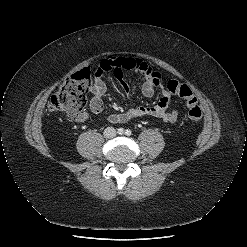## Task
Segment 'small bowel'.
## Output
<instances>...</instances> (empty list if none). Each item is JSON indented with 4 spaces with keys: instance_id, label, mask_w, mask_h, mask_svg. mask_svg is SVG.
Wrapping results in <instances>:
<instances>
[{
    "instance_id": "small-bowel-1",
    "label": "small bowel",
    "mask_w": 247,
    "mask_h": 247,
    "mask_svg": "<svg viewBox=\"0 0 247 247\" xmlns=\"http://www.w3.org/2000/svg\"><path fill=\"white\" fill-rule=\"evenodd\" d=\"M112 71L118 79L125 94H129V85L123 78L125 71H134L143 77L141 92L147 98H152L155 90H160V99L155 105L136 106L126 111L114 112L108 115L111 123H125L131 119L151 116L161 118L166 122H174L178 116V110L172 107L171 94L167 90L160 73L154 71L146 62L132 57H106L101 60L96 72V76L90 91L93 95L90 101V109L95 114H100L103 110L102 96L105 94L107 86L103 79V73ZM77 122H84L88 119L86 112L71 115Z\"/></svg>"
}]
</instances>
